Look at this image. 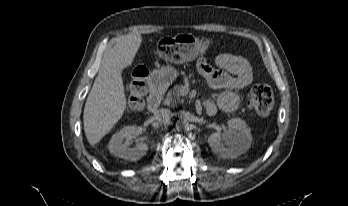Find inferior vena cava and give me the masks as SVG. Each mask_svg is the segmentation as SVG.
I'll use <instances>...</instances> for the list:
<instances>
[{"label": "inferior vena cava", "mask_w": 348, "mask_h": 206, "mask_svg": "<svg viewBox=\"0 0 348 206\" xmlns=\"http://www.w3.org/2000/svg\"><path fill=\"white\" fill-rule=\"evenodd\" d=\"M172 117V111L166 108H161L154 113L155 120L160 123H167L171 120Z\"/></svg>", "instance_id": "1"}]
</instances>
